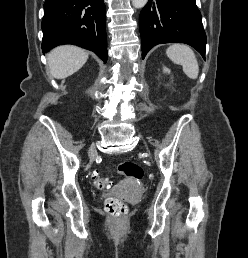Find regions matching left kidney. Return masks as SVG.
I'll return each mask as SVG.
<instances>
[{
  "instance_id": "obj_1",
  "label": "left kidney",
  "mask_w": 248,
  "mask_h": 258,
  "mask_svg": "<svg viewBox=\"0 0 248 258\" xmlns=\"http://www.w3.org/2000/svg\"><path fill=\"white\" fill-rule=\"evenodd\" d=\"M163 70L165 73H170V70L167 67H164Z\"/></svg>"
}]
</instances>
